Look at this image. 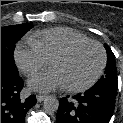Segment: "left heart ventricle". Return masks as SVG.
<instances>
[{"label": "left heart ventricle", "mask_w": 123, "mask_h": 123, "mask_svg": "<svg viewBox=\"0 0 123 123\" xmlns=\"http://www.w3.org/2000/svg\"><path fill=\"white\" fill-rule=\"evenodd\" d=\"M101 53L95 45H85L65 58L53 60L51 68L57 70L66 86H77L88 82L97 72Z\"/></svg>", "instance_id": "obj_1"}]
</instances>
